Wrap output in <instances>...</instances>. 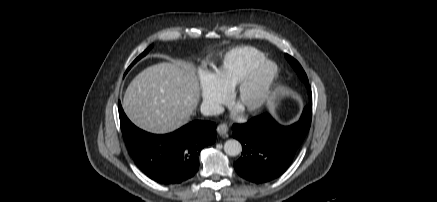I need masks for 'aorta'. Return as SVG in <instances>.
I'll return each mask as SVG.
<instances>
[{
  "label": "aorta",
  "mask_w": 437,
  "mask_h": 202,
  "mask_svg": "<svg viewBox=\"0 0 437 202\" xmlns=\"http://www.w3.org/2000/svg\"><path fill=\"white\" fill-rule=\"evenodd\" d=\"M224 151L229 156H237L242 151L241 143L235 139L227 140L224 143Z\"/></svg>",
  "instance_id": "obj_1"
}]
</instances>
